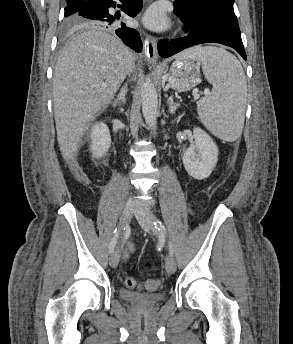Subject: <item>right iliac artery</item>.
<instances>
[{"label":"right iliac artery","instance_id":"82829eb1","mask_svg":"<svg viewBox=\"0 0 293 344\" xmlns=\"http://www.w3.org/2000/svg\"><path fill=\"white\" fill-rule=\"evenodd\" d=\"M118 237H119V229L116 228L115 231H114V236H113V238H112V240H111V242L109 244V252L110 253L113 252V250L115 248V245L117 243Z\"/></svg>","mask_w":293,"mask_h":344}]
</instances>
